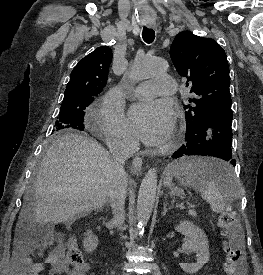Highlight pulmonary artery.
Here are the masks:
<instances>
[{"label":"pulmonary artery","instance_id":"obj_1","mask_svg":"<svg viewBox=\"0 0 263 275\" xmlns=\"http://www.w3.org/2000/svg\"><path fill=\"white\" fill-rule=\"evenodd\" d=\"M177 91V83L170 76H158L152 80L140 83L134 90V94L140 99H152L163 95H173Z\"/></svg>","mask_w":263,"mask_h":275}]
</instances>
